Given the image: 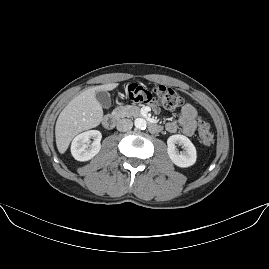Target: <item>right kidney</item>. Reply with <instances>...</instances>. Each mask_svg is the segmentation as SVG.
Here are the masks:
<instances>
[{"instance_id": "ca27d5eb", "label": "right kidney", "mask_w": 269, "mask_h": 269, "mask_svg": "<svg viewBox=\"0 0 269 269\" xmlns=\"http://www.w3.org/2000/svg\"><path fill=\"white\" fill-rule=\"evenodd\" d=\"M92 138L93 142L88 143ZM102 134L98 130H88L77 135L71 144V154L76 160L86 161L93 158L101 148Z\"/></svg>"}]
</instances>
